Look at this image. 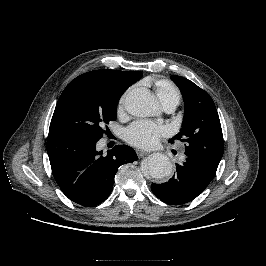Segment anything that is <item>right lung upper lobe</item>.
<instances>
[{
	"instance_id": "cb5924a9",
	"label": "right lung upper lobe",
	"mask_w": 266,
	"mask_h": 266,
	"mask_svg": "<svg viewBox=\"0 0 266 266\" xmlns=\"http://www.w3.org/2000/svg\"><path fill=\"white\" fill-rule=\"evenodd\" d=\"M141 76L142 73L139 71L124 72L117 70H94L78 76L69 84L89 80L101 84L116 85L127 89L130 85L139 80Z\"/></svg>"
}]
</instances>
